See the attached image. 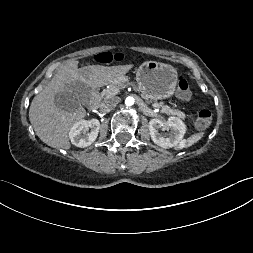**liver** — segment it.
Returning a JSON list of instances; mask_svg holds the SVG:
<instances>
[{
  "mask_svg": "<svg viewBox=\"0 0 253 253\" xmlns=\"http://www.w3.org/2000/svg\"><path fill=\"white\" fill-rule=\"evenodd\" d=\"M129 68L130 66L88 65L79 69L78 61L68 62L31 102L29 120L36 135L48 146L70 149V129L86 116V110L79 104L73 112L64 111L55 105V95L66 91L77 81L92 89L115 83Z\"/></svg>",
  "mask_w": 253,
  "mask_h": 253,
  "instance_id": "6515ba94",
  "label": "liver"
}]
</instances>
